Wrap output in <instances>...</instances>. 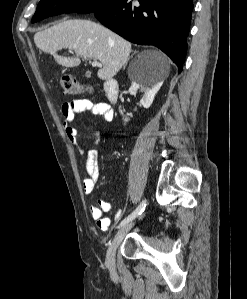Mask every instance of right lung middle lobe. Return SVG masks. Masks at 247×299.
<instances>
[{
	"instance_id": "1",
	"label": "right lung middle lobe",
	"mask_w": 247,
	"mask_h": 299,
	"mask_svg": "<svg viewBox=\"0 0 247 299\" xmlns=\"http://www.w3.org/2000/svg\"><path fill=\"white\" fill-rule=\"evenodd\" d=\"M120 0H41L32 18V23L49 16L63 13L87 14L96 12Z\"/></svg>"
}]
</instances>
